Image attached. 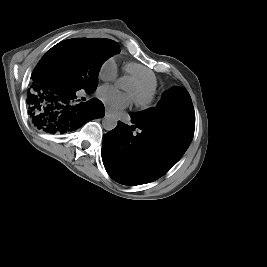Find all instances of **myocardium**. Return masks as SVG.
Here are the masks:
<instances>
[{
	"instance_id": "f54148a6",
	"label": "myocardium",
	"mask_w": 267,
	"mask_h": 267,
	"mask_svg": "<svg viewBox=\"0 0 267 267\" xmlns=\"http://www.w3.org/2000/svg\"><path fill=\"white\" fill-rule=\"evenodd\" d=\"M132 82L136 90L135 93H132L134 101L140 106L148 105L153 99V94L146 90L141 84L133 80Z\"/></svg>"
}]
</instances>
